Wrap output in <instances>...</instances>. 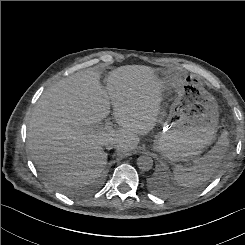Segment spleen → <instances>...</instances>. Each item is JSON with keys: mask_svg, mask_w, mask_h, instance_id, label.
I'll return each mask as SVG.
<instances>
[{"mask_svg": "<svg viewBox=\"0 0 245 245\" xmlns=\"http://www.w3.org/2000/svg\"><path fill=\"white\" fill-rule=\"evenodd\" d=\"M229 146L228 132L224 130L214 147L190 167L176 165L173 169L177 184L185 188H195L207 181L219 167Z\"/></svg>", "mask_w": 245, "mask_h": 245, "instance_id": "1", "label": "spleen"}]
</instances>
